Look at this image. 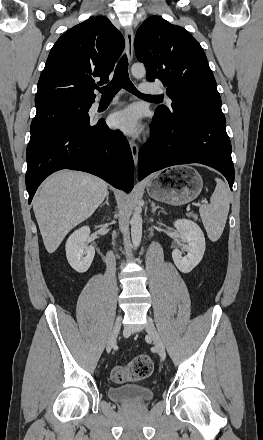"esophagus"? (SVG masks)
I'll list each match as a JSON object with an SVG mask.
<instances>
[{"instance_id":"34e87169","label":"esophagus","mask_w":263,"mask_h":440,"mask_svg":"<svg viewBox=\"0 0 263 440\" xmlns=\"http://www.w3.org/2000/svg\"><path fill=\"white\" fill-rule=\"evenodd\" d=\"M125 42H126L127 57H128L129 62H131L133 59V53H134V32H133L132 27H130V26H127L125 28ZM130 148H131V152H132L133 161L136 166L137 162H138V152H139L138 145L134 141L131 140L130 141Z\"/></svg>"}]
</instances>
